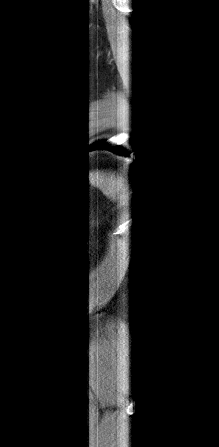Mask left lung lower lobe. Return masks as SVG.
<instances>
[{
  "mask_svg": "<svg viewBox=\"0 0 219 447\" xmlns=\"http://www.w3.org/2000/svg\"><path fill=\"white\" fill-rule=\"evenodd\" d=\"M100 148H109L110 150H112L118 154L128 155V153H127L128 151L124 146H109V145H106L104 141L103 142L98 141L92 145H88L86 150L89 151V150L100 149Z\"/></svg>",
  "mask_w": 219,
  "mask_h": 447,
  "instance_id": "1",
  "label": "left lung lower lobe"
}]
</instances>
